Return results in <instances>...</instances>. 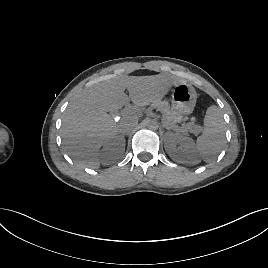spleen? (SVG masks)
<instances>
[{"instance_id": "3e777b00", "label": "spleen", "mask_w": 268, "mask_h": 268, "mask_svg": "<svg viewBox=\"0 0 268 268\" xmlns=\"http://www.w3.org/2000/svg\"><path fill=\"white\" fill-rule=\"evenodd\" d=\"M225 122L221 109L210 106L204 117L203 133L197 138V150L205 162L213 161L225 142Z\"/></svg>"}]
</instances>
